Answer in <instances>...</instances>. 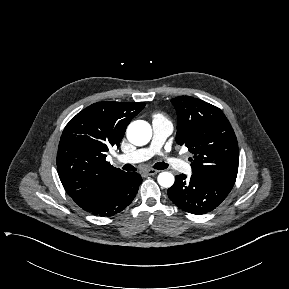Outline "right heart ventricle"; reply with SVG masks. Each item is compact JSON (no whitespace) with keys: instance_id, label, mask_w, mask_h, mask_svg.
<instances>
[{"instance_id":"obj_1","label":"right heart ventricle","mask_w":289,"mask_h":289,"mask_svg":"<svg viewBox=\"0 0 289 289\" xmlns=\"http://www.w3.org/2000/svg\"><path fill=\"white\" fill-rule=\"evenodd\" d=\"M155 119H162V120H165V118H164L162 115H160V114L155 115Z\"/></svg>"}]
</instances>
